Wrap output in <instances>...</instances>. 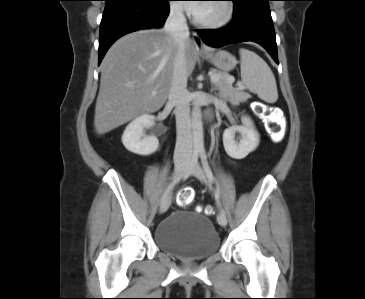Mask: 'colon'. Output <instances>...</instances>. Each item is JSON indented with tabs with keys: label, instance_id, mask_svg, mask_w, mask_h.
Wrapping results in <instances>:
<instances>
[{
	"label": "colon",
	"instance_id": "colon-1",
	"mask_svg": "<svg viewBox=\"0 0 365 299\" xmlns=\"http://www.w3.org/2000/svg\"><path fill=\"white\" fill-rule=\"evenodd\" d=\"M260 114L264 115L267 118V131L270 137L274 141H281L284 133H285V125L281 115H279L278 110L271 107H266L265 110L260 111ZM275 115V117H271V115ZM195 193L193 189L186 187L179 191L177 195V203L185 207L189 205L194 199ZM204 211L207 214L213 213V209L210 206L204 208Z\"/></svg>",
	"mask_w": 365,
	"mask_h": 299
}]
</instances>
